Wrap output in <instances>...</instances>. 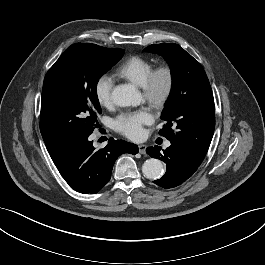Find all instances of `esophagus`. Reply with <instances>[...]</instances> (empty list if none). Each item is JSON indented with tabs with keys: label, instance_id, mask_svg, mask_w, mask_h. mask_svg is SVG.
Segmentation results:
<instances>
[{
	"label": "esophagus",
	"instance_id": "obj_1",
	"mask_svg": "<svg viewBox=\"0 0 265 265\" xmlns=\"http://www.w3.org/2000/svg\"><path fill=\"white\" fill-rule=\"evenodd\" d=\"M138 148H139V153H141V154H145L146 153V149H147V146L146 145L140 144L138 146Z\"/></svg>",
	"mask_w": 265,
	"mask_h": 265
}]
</instances>
